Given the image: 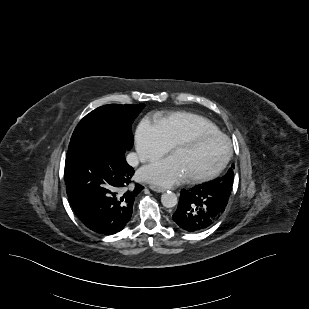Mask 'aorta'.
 I'll list each match as a JSON object with an SVG mask.
<instances>
[{"mask_svg": "<svg viewBox=\"0 0 309 309\" xmlns=\"http://www.w3.org/2000/svg\"><path fill=\"white\" fill-rule=\"evenodd\" d=\"M178 199L174 192L167 191L161 196V203L166 208H173L177 205Z\"/></svg>", "mask_w": 309, "mask_h": 309, "instance_id": "1", "label": "aorta"}]
</instances>
